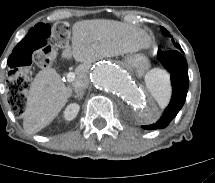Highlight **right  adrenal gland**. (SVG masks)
Here are the masks:
<instances>
[{"instance_id":"obj_1","label":"right adrenal gland","mask_w":215,"mask_h":183,"mask_svg":"<svg viewBox=\"0 0 215 183\" xmlns=\"http://www.w3.org/2000/svg\"><path fill=\"white\" fill-rule=\"evenodd\" d=\"M83 95H84V91L75 94L74 97H75V98H79V99L81 100V99L83 98Z\"/></svg>"}]
</instances>
